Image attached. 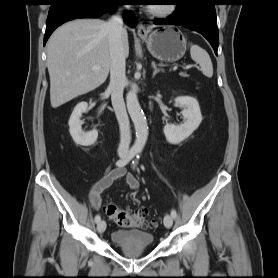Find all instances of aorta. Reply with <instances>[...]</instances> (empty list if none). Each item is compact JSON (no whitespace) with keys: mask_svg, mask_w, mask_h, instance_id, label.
<instances>
[{"mask_svg":"<svg viewBox=\"0 0 278 278\" xmlns=\"http://www.w3.org/2000/svg\"><path fill=\"white\" fill-rule=\"evenodd\" d=\"M126 104L136 134L133 148L137 151H142L148 138V125L144 112L139 104L135 88L127 93Z\"/></svg>","mask_w":278,"mask_h":278,"instance_id":"1","label":"aorta"}]
</instances>
